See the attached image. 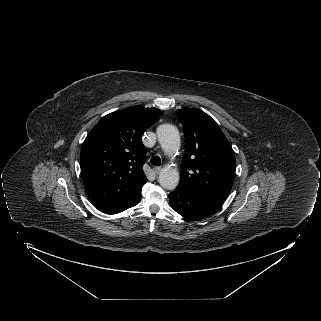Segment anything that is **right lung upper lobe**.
<instances>
[{
    "label": "right lung upper lobe",
    "instance_id": "1",
    "mask_svg": "<svg viewBox=\"0 0 321 321\" xmlns=\"http://www.w3.org/2000/svg\"><path fill=\"white\" fill-rule=\"evenodd\" d=\"M156 108L132 106L104 116L87 135L80 165L85 187L96 207L116 214L135 206L147 182L142 166V133L160 115Z\"/></svg>",
    "mask_w": 321,
    "mask_h": 321
}]
</instances>
